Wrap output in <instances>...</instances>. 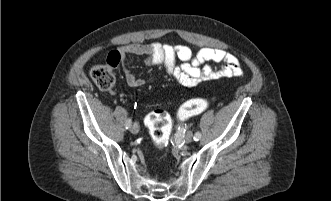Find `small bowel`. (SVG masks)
Instances as JSON below:
<instances>
[{"label":"small bowel","mask_w":331,"mask_h":201,"mask_svg":"<svg viewBox=\"0 0 331 201\" xmlns=\"http://www.w3.org/2000/svg\"><path fill=\"white\" fill-rule=\"evenodd\" d=\"M117 54L122 61L130 56H141L145 57L146 65H163L167 74L186 87H194L204 81L239 77L243 74L237 57L221 48H201L194 53L184 45L161 42L132 43L120 47ZM211 62L221 63V67H212L209 64ZM124 72L126 83L130 87H141L148 81L137 77L127 67L124 68Z\"/></svg>","instance_id":"1"}]
</instances>
